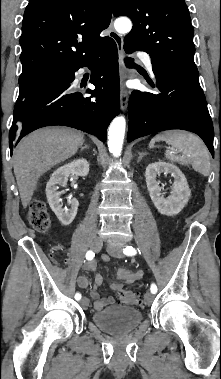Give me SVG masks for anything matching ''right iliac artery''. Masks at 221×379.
I'll use <instances>...</instances> for the list:
<instances>
[{
	"mask_svg": "<svg viewBox=\"0 0 221 379\" xmlns=\"http://www.w3.org/2000/svg\"><path fill=\"white\" fill-rule=\"evenodd\" d=\"M95 256V253L92 251V250H89L87 253H86V259L87 260H92ZM75 299L76 300H80L81 299V294L80 293H76L75 294Z\"/></svg>",
	"mask_w": 221,
	"mask_h": 379,
	"instance_id": "82829eb1",
	"label": "right iliac artery"
}]
</instances>
